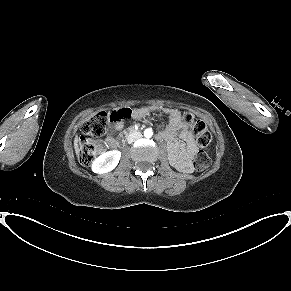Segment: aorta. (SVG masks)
<instances>
[{"mask_svg": "<svg viewBox=\"0 0 291 291\" xmlns=\"http://www.w3.org/2000/svg\"><path fill=\"white\" fill-rule=\"evenodd\" d=\"M144 136L146 138H151L153 136V131L151 128H147L144 130Z\"/></svg>", "mask_w": 291, "mask_h": 291, "instance_id": "aorta-1", "label": "aorta"}]
</instances>
